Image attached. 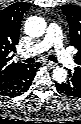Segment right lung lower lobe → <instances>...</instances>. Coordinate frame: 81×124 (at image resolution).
<instances>
[{
  "label": "right lung lower lobe",
  "mask_w": 81,
  "mask_h": 124,
  "mask_svg": "<svg viewBox=\"0 0 81 124\" xmlns=\"http://www.w3.org/2000/svg\"><path fill=\"white\" fill-rule=\"evenodd\" d=\"M39 66L40 63L34 65L24 64L21 66L11 75V77L0 82V95L15 97L27 91L32 84V80Z\"/></svg>",
  "instance_id": "obj_1"
}]
</instances>
